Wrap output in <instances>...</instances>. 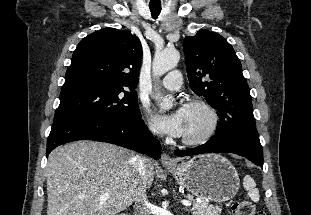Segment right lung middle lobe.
<instances>
[{
  "instance_id": "1",
  "label": "right lung middle lobe",
  "mask_w": 311,
  "mask_h": 215,
  "mask_svg": "<svg viewBox=\"0 0 311 215\" xmlns=\"http://www.w3.org/2000/svg\"><path fill=\"white\" fill-rule=\"evenodd\" d=\"M139 115L137 95L134 91L80 83L63 86L54 121L70 117L128 120Z\"/></svg>"
}]
</instances>
